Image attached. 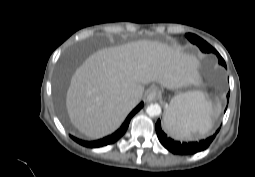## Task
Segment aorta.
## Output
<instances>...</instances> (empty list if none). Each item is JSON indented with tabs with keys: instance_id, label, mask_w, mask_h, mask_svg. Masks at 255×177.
<instances>
[{
	"instance_id": "aorta-1",
	"label": "aorta",
	"mask_w": 255,
	"mask_h": 177,
	"mask_svg": "<svg viewBox=\"0 0 255 177\" xmlns=\"http://www.w3.org/2000/svg\"><path fill=\"white\" fill-rule=\"evenodd\" d=\"M146 112L151 117L159 116L161 114V107L158 104H150L146 108Z\"/></svg>"
}]
</instances>
